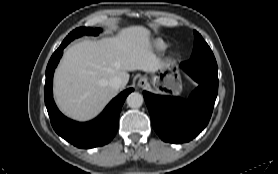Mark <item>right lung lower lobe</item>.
I'll use <instances>...</instances> for the list:
<instances>
[{"instance_id": "98d812e1", "label": "right lung lower lobe", "mask_w": 278, "mask_h": 174, "mask_svg": "<svg viewBox=\"0 0 278 174\" xmlns=\"http://www.w3.org/2000/svg\"><path fill=\"white\" fill-rule=\"evenodd\" d=\"M68 43H62L54 52L46 68L44 89L45 104L54 130L66 141L79 148H93L110 142L118 129L119 114L127 95L133 91L129 88L114 98L105 110L94 120L79 123L65 117L56 107L52 94L53 73L63 49Z\"/></svg>"}]
</instances>
